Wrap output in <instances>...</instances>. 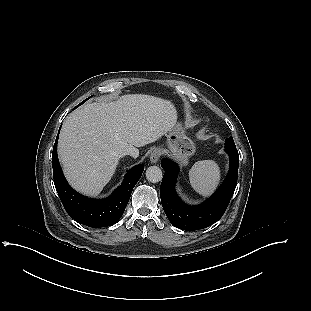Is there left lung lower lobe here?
<instances>
[{
	"label": "left lung lower lobe",
	"mask_w": 311,
	"mask_h": 311,
	"mask_svg": "<svg viewBox=\"0 0 311 311\" xmlns=\"http://www.w3.org/2000/svg\"><path fill=\"white\" fill-rule=\"evenodd\" d=\"M230 157L228 175L219 189L204 203L198 206L185 204L176 194L174 185L179 167L171 160L163 159V175L160 197L162 207L172 225L186 231L208 227L217 222L224 214L237 184L239 156L236 149H226Z\"/></svg>",
	"instance_id": "1"
}]
</instances>
